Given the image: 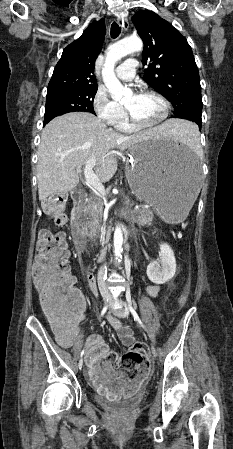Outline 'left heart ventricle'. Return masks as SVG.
Masks as SVG:
<instances>
[{"label": "left heart ventricle", "mask_w": 233, "mask_h": 449, "mask_svg": "<svg viewBox=\"0 0 233 449\" xmlns=\"http://www.w3.org/2000/svg\"><path fill=\"white\" fill-rule=\"evenodd\" d=\"M131 113L141 122H154L163 113L161 102L150 95H130L124 102Z\"/></svg>", "instance_id": "b2bd125f"}]
</instances>
